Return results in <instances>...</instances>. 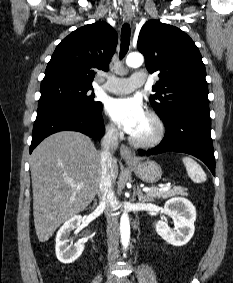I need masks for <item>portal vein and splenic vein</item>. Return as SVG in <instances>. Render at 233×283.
<instances>
[{"label":"portal vein and splenic vein","instance_id":"obj_1","mask_svg":"<svg viewBox=\"0 0 233 283\" xmlns=\"http://www.w3.org/2000/svg\"><path fill=\"white\" fill-rule=\"evenodd\" d=\"M74 187H76L77 189H81L84 185L83 184H77V185H73ZM170 189V186H165V187H162V188H148V187H145L143 188V192H150V191H168Z\"/></svg>","mask_w":233,"mask_h":283}]
</instances>
